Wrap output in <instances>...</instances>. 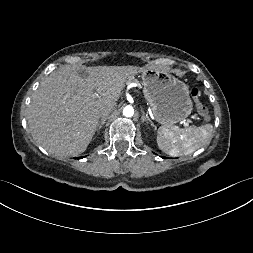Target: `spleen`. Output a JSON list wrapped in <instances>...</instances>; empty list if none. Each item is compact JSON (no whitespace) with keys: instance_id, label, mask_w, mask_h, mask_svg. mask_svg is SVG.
I'll list each match as a JSON object with an SVG mask.
<instances>
[{"instance_id":"spleen-1","label":"spleen","mask_w":253,"mask_h":253,"mask_svg":"<svg viewBox=\"0 0 253 253\" xmlns=\"http://www.w3.org/2000/svg\"><path fill=\"white\" fill-rule=\"evenodd\" d=\"M212 124L179 129L175 125L161 126L157 134L159 148L172 157L188 155L211 140Z\"/></svg>"}]
</instances>
